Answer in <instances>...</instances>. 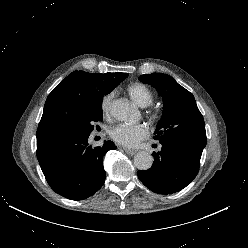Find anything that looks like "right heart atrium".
<instances>
[{
    "label": "right heart atrium",
    "instance_id": "obj_1",
    "mask_svg": "<svg viewBox=\"0 0 248 248\" xmlns=\"http://www.w3.org/2000/svg\"><path fill=\"white\" fill-rule=\"evenodd\" d=\"M112 99H113V94L109 93V94L105 95L101 100L100 110H101L102 115L105 118H109V116H110Z\"/></svg>",
    "mask_w": 248,
    "mask_h": 248
}]
</instances>
